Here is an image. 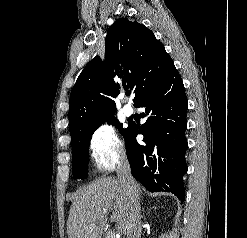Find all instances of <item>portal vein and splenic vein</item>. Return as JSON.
I'll return each instance as SVG.
<instances>
[{
  "label": "portal vein and splenic vein",
  "instance_id": "obj_1",
  "mask_svg": "<svg viewBox=\"0 0 247 238\" xmlns=\"http://www.w3.org/2000/svg\"><path fill=\"white\" fill-rule=\"evenodd\" d=\"M106 238H115V232L113 231H108L107 237Z\"/></svg>",
  "mask_w": 247,
  "mask_h": 238
}]
</instances>
